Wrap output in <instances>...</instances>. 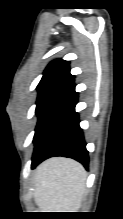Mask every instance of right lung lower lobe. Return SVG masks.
Instances as JSON below:
<instances>
[{
    "instance_id": "obj_1",
    "label": "right lung lower lobe",
    "mask_w": 123,
    "mask_h": 219,
    "mask_svg": "<svg viewBox=\"0 0 123 219\" xmlns=\"http://www.w3.org/2000/svg\"><path fill=\"white\" fill-rule=\"evenodd\" d=\"M78 93L71 82L68 89L47 114L35 142L32 168L53 156L73 158L88 167V151L82 129L79 127L75 105Z\"/></svg>"
}]
</instances>
